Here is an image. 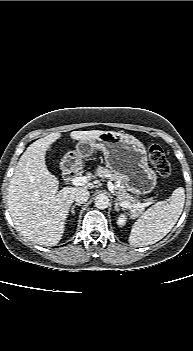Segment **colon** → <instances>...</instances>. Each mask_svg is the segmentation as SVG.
<instances>
[{
  "instance_id": "colon-1",
  "label": "colon",
  "mask_w": 193,
  "mask_h": 351,
  "mask_svg": "<svg viewBox=\"0 0 193 351\" xmlns=\"http://www.w3.org/2000/svg\"><path fill=\"white\" fill-rule=\"evenodd\" d=\"M149 160L158 174L166 178L170 175L171 167L164 154L163 149L157 144H151L148 147Z\"/></svg>"
}]
</instances>
